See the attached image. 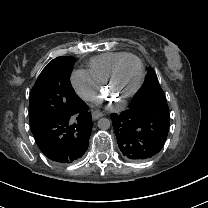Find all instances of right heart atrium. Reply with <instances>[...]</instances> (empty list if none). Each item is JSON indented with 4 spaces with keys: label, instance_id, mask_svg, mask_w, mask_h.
<instances>
[{
    "label": "right heart atrium",
    "instance_id": "1",
    "mask_svg": "<svg viewBox=\"0 0 208 208\" xmlns=\"http://www.w3.org/2000/svg\"><path fill=\"white\" fill-rule=\"evenodd\" d=\"M70 82L82 100L92 103L99 101L101 87L89 73L73 71L70 76Z\"/></svg>",
    "mask_w": 208,
    "mask_h": 208
}]
</instances>
